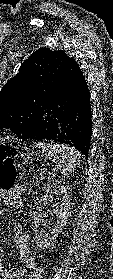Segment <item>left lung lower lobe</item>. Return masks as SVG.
I'll use <instances>...</instances> for the list:
<instances>
[{"mask_svg":"<svg viewBox=\"0 0 113 279\" xmlns=\"http://www.w3.org/2000/svg\"><path fill=\"white\" fill-rule=\"evenodd\" d=\"M91 133L89 89L79 65L70 59L37 104L30 126L19 138L67 144L87 157Z\"/></svg>","mask_w":113,"mask_h":279,"instance_id":"obj_1","label":"left lung lower lobe"}]
</instances>
